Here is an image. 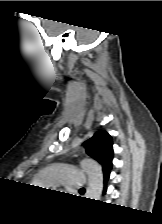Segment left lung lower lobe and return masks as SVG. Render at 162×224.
Wrapping results in <instances>:
<instances>
[{
	"label": "left lung lower lobe",
	"instance_id": "obj_1",
	"mask_svg": "<svg viewBox=\"0 0 162 224\" xmlns=\"http://www.w3.org/2000/svg\"><path fill=\"white\" fill-rule=\"evenodd\" d=\"M110 172L104 174V193L106 192V182L109 179Z\"/></svg>",
	"mask_w": 162,
	"mask_h": 224
}]
</instances>
